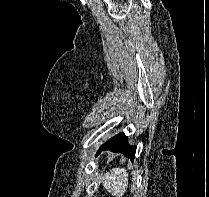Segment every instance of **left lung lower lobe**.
Returning a JSON list of instances; mask_svg holds the SVG:
<instances>
[{
  "label": "left lung lower lobe",
  "instance_id": "1",
  "mask_svg": "<svg viewBox=\"0 0 209 197\" xmlns=\"http://www.w3.org/2000/svg\"><path fill=\"white\" fill-rule=\"evenodd\" d=\"M103 150H110L112 152L122 153L124 156L130 158L131 160L135 157L136 146H131L127 143V137L124 133H119L105 142L97 154Z\"/></svg>",
  "mask_w": 209,
  "mask_h": 197
}]
</instances>
